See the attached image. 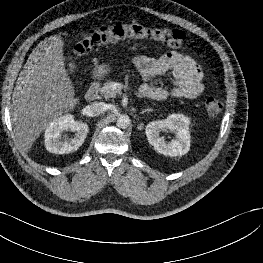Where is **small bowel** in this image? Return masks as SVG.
I'll return each instance as SVG.
<instances>
[{
	"label": "small bowel",
	"mask_w": 263,
	"mask_h": 263,
	"mask_svg": "<svg viewBox=\"0 0 263 263\" xmlns=\"http://www.w3.org/2000/svg\"><path fill=\"white\" fill-rule=\"evenodd\" d=\"M133 64L144 80L139 91L145 98L153 100L194 99L204 90L200 67L192 58L179 52L170 51L159 58L139 55L134 57ZM166 74H170L172 77V90L168 91L151 84L154 79Z\"/></svg>",
	"instance_id": "c3829d8e"
}]
</instances>
